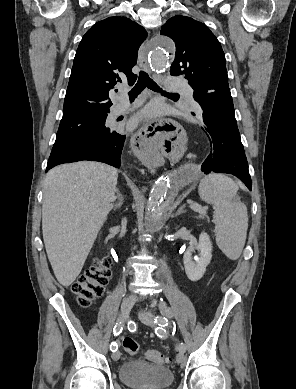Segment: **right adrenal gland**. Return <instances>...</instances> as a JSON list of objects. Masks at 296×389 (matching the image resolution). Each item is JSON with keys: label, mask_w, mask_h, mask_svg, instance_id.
Masks as SVG:
<instances>
[{"label": "right adrenal gland", "mask_w": 296, "mask_h": 389, "mask_svg": "<svg viewBox=\"0 0 296 389\" xmlns=\"http://www.w3.org/2000/svg\"><path fill=\"white\" fill-rule=\"evenodd\" d=\"M116 198H117V202L112 206V209L116 210V209H120L121 206L123 205V202H124V198L122 196V194L120 193L119 189H116Z\"/></svg>", "instance_id": "2a0ac1e0"}]
</instances>
